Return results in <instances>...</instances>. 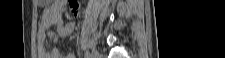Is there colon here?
<instances>
[{"instance_id":"1","label":"colon","mask_w":225,"mask_h":58,"mask_svg":"<svg viewBox=\"0 0 225 58\" xmlns=\"http://www.w3.org/2000/svg\"><path fill=\"white\" fill-rule=\"evenodd\" d=\"M41 3H46L47 1H40ZM72 11L76 14L78 11L77 4L75 2H72Z\"/></svg>"}]
</instances>
